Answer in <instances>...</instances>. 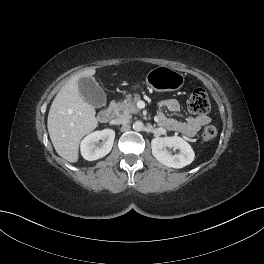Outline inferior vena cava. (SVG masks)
<instances>
[{
  "label": "inferior vena cava",
  "mask_w": 264,
  "mask_h": 264,
  "mask_svg": "<svg viewBox=\"0 0 264 264\" xmlns=\"http://www.w3.org/2000/svg\"><path fill=\"white\" fill-rule=\"evenodd\" d=\"M129 119L128 116L126 115H121L118 118L114 119L111 121L112 124H123L124 122H126Z\"/></svg>",
  "instance_id": "obj_1"
}]
</instances>
